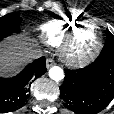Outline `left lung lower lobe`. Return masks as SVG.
Masks as SVG:
<instances>
[{
    "mask_svg": "<svg viewBox=\"0 0 114 114\" xmlns=\"http://www.w3.org/2000/svg\"><path fill=\"white\" fill-rule=\"evenodd\" d=\"M60 98L77 114H96L104 109L114 98V54L101 53L85 68L66 69Z\"/></svg>",
    "mask_w": 114,
    "mask_h": 114,
    "instance_id": "left-lung-lower-lobe-1",
    "label": "left lung lower lobe"
}]
</instances>
